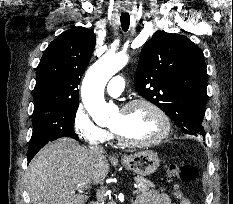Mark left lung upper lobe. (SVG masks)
<instances>
[{
    "label": "left lung upper lobe",
    "instance_id": "5c2ea615",
    "mask_svg": "<svg viewBox=\"0 0 233 204\" xmlns=\"http://www.w3.org/2000/svg\"><path fill=\"white\" fill-rule=\"evenodd\" d=\"M204 55L183 35L158 31L143 47L134 84L186 134L205 136L207 92Z\"/></svg>",
    "mask_w": 233,
    "mask_h": 204
}]
</instances>
